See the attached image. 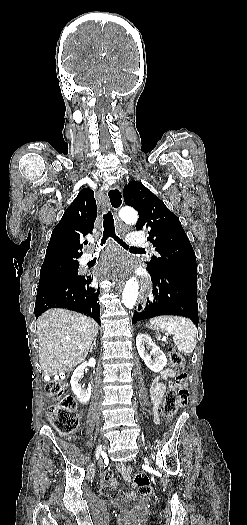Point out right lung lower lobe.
<instances>
[{
	"label": "right lung lower lobe",
	"mask_w": 247,
	"mask_h": 525,
	"mask_svg": "<svg viewBox=\"0 0 247 525\" xmlns=\"http://www.w3.org/2000/svg\"><path fill=\"white\" fill-rule=\"evenodd\" d=\"M91 275L63 277L38 286L35 316L51 308H66L84 313L100 324L99 291L89 287Z\"/></svg>",
	"instance_id": "1"
}]
</instances>
